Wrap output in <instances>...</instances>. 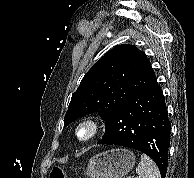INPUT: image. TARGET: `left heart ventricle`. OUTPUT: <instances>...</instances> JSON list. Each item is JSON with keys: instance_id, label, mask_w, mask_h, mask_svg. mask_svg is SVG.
Wrapping results in <instances>:
<instances>
[{"instance_id": "obj_1", "label": "left heart ventricle", "mask_w": 194, "mask_h": 178, "mask_svg": "<svg viewBox=\"0 0 194 178\" xmlns=\"http://www.w3.org/2000/svg\"><path fill=\"white\" fill-rule=\"evenodd\" d=\"M86 134H87V131L86 130H82L81 135L85 136Z\"/></svg>"}]
</instances>
